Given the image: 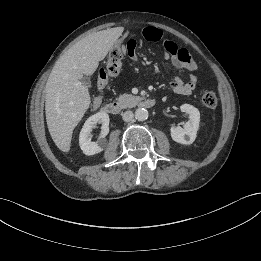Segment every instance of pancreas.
<instances>
[{
  "label": "pancreas",
  "mask_w": 261,
  "mask_h": 261,
  "mask_svg": "<svg viewBox=\"0 0 261 261\" xmlns=\"http://www.w3.org/2000/svg\"><path fill=\"white\" fill-rule=\"evenodd\" d=\"M137 99H138L137 96L124 93L119 95V97L117 98V102L122 108H127V107H131L133 103L137 101Z\"/></svg>",
  "instance_id": "pancreas-1"
}]
</instances>
